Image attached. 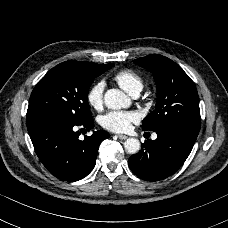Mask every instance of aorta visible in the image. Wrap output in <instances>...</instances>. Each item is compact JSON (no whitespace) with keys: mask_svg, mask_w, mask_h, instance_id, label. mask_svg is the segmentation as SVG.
I'll return each instance as SVG.
<instances>
[{"mask_svg":"<svg viewBox=\"0 0 228 228\" xmlns=\"http://www.w3.org/2000/svg\"><path fill=\"white\" fill-rule=\"evenodd\" d=\"M104 102L107 108L118 110L128 108L131 105L130 98L119 89H109L104 95ZM125 150L135 154L140 150V142L135 138H128L124 143Z\"/></svg>","mask_w":228,"mask_h":228,"instance_id":"762f6f07","label":"aorta"}]
</instances>
